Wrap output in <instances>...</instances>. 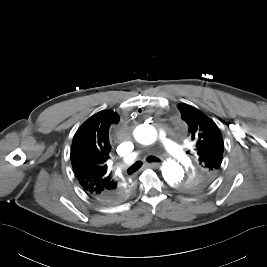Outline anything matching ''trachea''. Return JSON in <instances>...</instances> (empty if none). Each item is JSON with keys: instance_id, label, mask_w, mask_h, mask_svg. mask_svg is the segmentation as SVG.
Masks as SVG:
<instances>
[{"instance_id": "1", "label": "trachea", "mask_w": 267, "mask_h": 267, "mask_svg": "<svg viewBox=\"0 0 267 267\" xmlns=\"http://www.w3.org/2000/svg\"><path fill=\"white\" fill-rule=\"evenodd\" d=\"M146 161L151 163V162H160V160L155 157V156H148L146 158ZM142 166V162L141 161H137L135 162L132 166H130L127 170V173L129 175H131L132 173H134L135 171H137L140 167Z\"/></svg>"}]
</instances>
